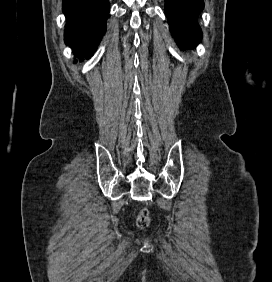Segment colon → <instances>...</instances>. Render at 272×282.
<instances>
[{"mask_svg":"<svg viewBox=\"0 0 272 282\" xmlns=\"http://www.w3.org/2000/svg\"><path fill=\"white\" fill-rule=\"evenodd\" d=\"M150 219L146 209H142L137 217V226L139 228H146L149 225Z\"/></svg>","mask_w":272,"mask_h":282,"instance_id":"obj_1","label":"colon"}]
</instances>
